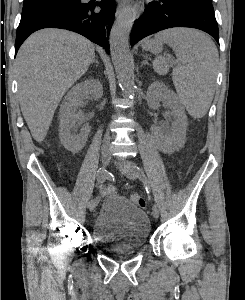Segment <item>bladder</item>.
Masks as SVG:
<instances>
[{
	"instance_id": "1",
	"label": "bladder",
	"mask_w": 245,
	"mask_h": 300,
	"mask_svg": "<svg viewBox=\"0 0 245 300\" xmlns=\"http://www.w3.org/2000/svg\"><path fill=\"white\" fill-rule=\"evenodd\" d=\"M92 237L106 250L127 253L143 248L150 236L145 212L118 194L106 196L92 223Z\"/></svg>"
}]
</instances>
